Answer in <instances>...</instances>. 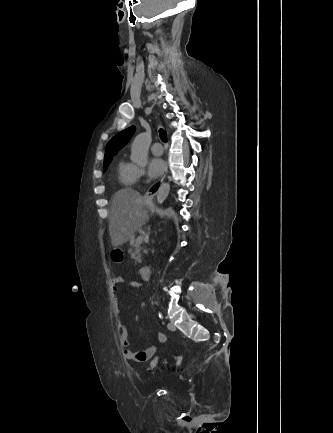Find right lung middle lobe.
Wrapping results in <instances>:
<instances>
[{
  "mask_svg": "<svg viewBox=\"0 0 333 433\" xmlns=\"http://www.w3.org/2000/svg\"><path fill=\"white\" fill-rule=\"evenodd\" d=\"M107 167H108V164L104 165V170H106V169H107Z\"/></svg>",
  "mask_w": 333,
  "mask_h": 433,
  "instance_id": "dd1d6c3e",
  "label": "right lung middle lobe"
}]
</instances>
